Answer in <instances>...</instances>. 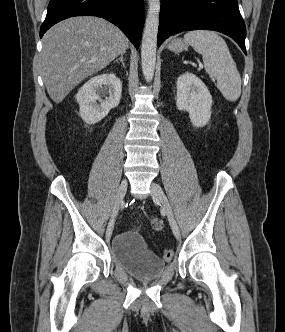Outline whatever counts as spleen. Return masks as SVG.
<instances>
[{
  "mask_svg": "<svg viewBox=\"0 0 285 332\" xmlns=\"http://www.w3.org/2000/svg\"><path fill=\"white\" fill-rule=\"evenodd\" d=\"M184 40L202 55L206 72L217 79L224 98L235 102L241 95V77L225 40L209 30L189 31Z\"/></svg>",
  "mask_w": 285,
  "mask_h": 332,
  "instance_id": "obj_1",
  "label": "spleen"
}]
</instances>
